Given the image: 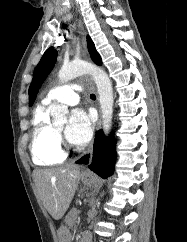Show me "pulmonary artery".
<instances>
[{"label":"pulmonary artery","instance_id":"1","mask_svg":"<svg viewBox=\"0 0 187 242\" xmlns=\"http://www.w3.org/2000/svg\"><path fill=\"white\" fill-rule=\"evenodd\" d=\"M82 91V87L77 84H65L49 90L43 102L50 104L57 101L67 105H75L79 101L78 92Z\"/></svg>","mask_w":187,"mask_h":242}]
</instances>
